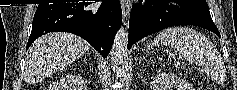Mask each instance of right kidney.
Segmentation results:
<instances>
[{
    "label": "right kidney",
    "mask_w": 237,
    "mask_h": 90,
    "mask_svg": "<svg viewBox=\"0 0 237 90\" xmlns=\"http://www.w3.org/2000/svg\"><path fill=\"white\" fill-rule=\"evenodd\" d=\"M60 88H62V86H60V84H56L55 88H53V86H50L49 90H60Z\"/></svg>",
    "instance_id": "right-kidney-1"
}]
</instances>
